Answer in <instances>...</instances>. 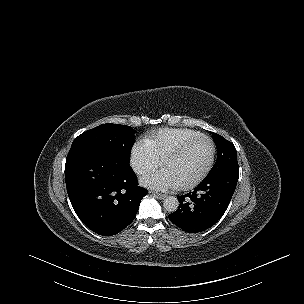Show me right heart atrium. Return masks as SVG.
<instances>
[{"instance_id":"obj_1","label":"right heart atrium","mask_w":304,"mask_h":304,"mask_svg":"<svg viewBox=\"0 0 304 304\" xmlns=\"http://www.w3.org/2000/svg\"><path fill=\"white\" fill-rule=\"evenodd\" d=\"M131 164L137 171L146 172L158 166V158L148 144L138 142L131 151Z\"/></svg>"}]
</instances>
